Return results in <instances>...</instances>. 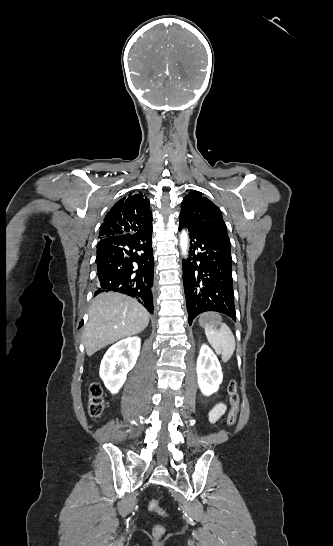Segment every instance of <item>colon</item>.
<instances>
[{"instance_id": "colon-1", "label": "colon", "mask_w": 333, "mask_h": 546, "mask_svg": "<svg viewBox=\"0 0 333 546\" xmlns=\"http://www.w3.org/2000/svg\"><path fill=\"white\" fill-rule=\"evenodd\" d=\"M230 397V410L227 415V424L233 426L237 421L239 413V394L237 392V385L234 381H231L228 387ZM105 409L104 392L102 386L98 382H94L90 386V401H89V413L92 417H99ZM148 508L150 511L157 512L160 515H165V511L162 509L160 503L156 499H152ZM154 535L161 537L165 533V528L162 525H156L153 529Z\"/></svg>"}]
</instances>
